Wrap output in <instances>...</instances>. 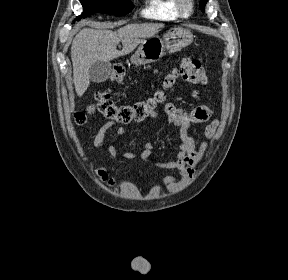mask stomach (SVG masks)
<instances>
[{
    "label": "stomach",
    "mask_w": 288,
    "mask_h": 280,
    "mask_svg": "<svg viewBox=\"0 0 288 280\" xmlns=\"http://www.w3.org/2000/svg\"><path fill=\"white\" fill-rule=\"evenodd\" d=\"M193 41L192 33L183 27L170 28L162 38L153 36L145 39L131 57L135 65L154 63L162 58L166 51L178 52Z\"/></svg>",
    "instance_id": "stomach-1"
}]
</instances>
